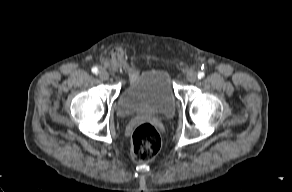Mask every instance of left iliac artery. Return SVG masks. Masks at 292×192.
Returning a JSON list of instances; mask_svg holds the SVG:
<instances>
[{"label": "left iliac artery", "mask_w": 292, "mask_h": 192, "mask_svg": "<svg viewBox=\"0 0 292 192\" xmlns=\"http://www.w3.org/2000/svg\"><path fill=\"white\" fill-rule=\"evenodd\" d=\"M204 76H205L204 72L200 71V72L198 73V78H199V79L203 78Z\"/></svg>", "instance_id": "obj_1"}]
</instances>
